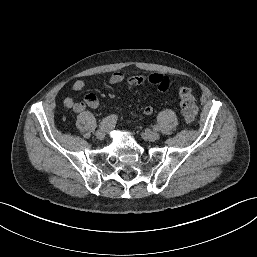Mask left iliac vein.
Returning <instances> with one entry per match:
<instances>
[{
    "instance_id": "1",
    "label": "left iliac vein",
    "mask_w": 257,
    "mask_h": 257,
    "mask_svg": "<svg viewBox=\"0 0 257 257\" xmlns=\"http://www.w3.org/2000/svg\"><path fill=\"white\" fill-rule=\"evenodd\" d=\"M144 138H146L149 141H156L159 139L160 134L157 131H147L143 133Z\"/></svg>"
}]
</instances>
